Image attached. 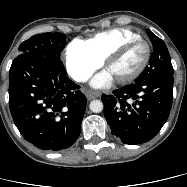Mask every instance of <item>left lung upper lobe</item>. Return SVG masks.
I'll use <instances>...</instances> for the list:
<instances>
[{
  "mask_svg": "<svg viewBox=\"0 0 187 187\" xmlns=\"http://www.w3.org/2000/svg\"><path fill=\"white\" fill-rule=\"evenodd\" d=\"M147 34L153 44V53L149 65L136 81H143L161 76H173L171 58L165 43L150 30H147Z\"/></svg>",
  "mask_w": 187,
  "mask_h": 187,
  "instance_id": "1",
  "label": "left lung upper lobe"
}]
</instances>
